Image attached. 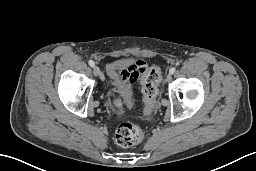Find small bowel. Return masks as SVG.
<instances>
[{"label":"small bowel","mask_w":256,"mask_h":171,"mask_svg":"<svg viewBox=\"0 0 256 171\" xmlns=\"http://www.w3.org/2000/svg\"><path fill=\"white\" fill-rule=\"evenodd\" d=\"M147 70V64L143 60L135 59L131 60L123 65L119 66V73L123 79L129 82H135L139 76L144 74ZM153 107H147L144 115H148Z\"/></svg>","instance_id":"1"}]
</instances>
